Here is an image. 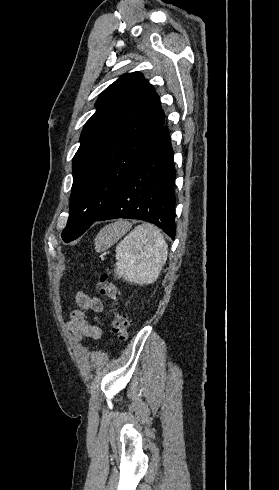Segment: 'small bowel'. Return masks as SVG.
Instances as JSON below:
<instances>
[{
	"mask_svg": "<svg viewBox=\"0 0 279 490\" xmlns=\"http://www.w3.org/2000/svg\"><path fill=\"white\" fill-rule=\"evenodd\" d=\"M75 301L79 309L71 311L70 319L67 323L68 329L79 340L85 338L99 340L102 336V329L99 325L89 321L88 314H91L93 319L97 321V314L103 309L101 301L83 292L76 294Z\"/></svg>",
	"mask_w": 279,
	"mask_h": 490,
	"instance_id": "obj_1",
	"label": "small bowel"
}]
</instances>
